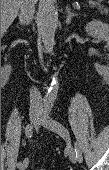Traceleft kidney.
Segmentation results:
<instances>
[{
	"mask_svg": "<svg viewBox=\"0 0 109 170\" xmlns=\"http://www.w3.org/2000/svg\"><path fill=\"white\" fill-rule=\"evenodd\" d=\"M85 31L87 32L88 35L92 37L100 38L106 42L109 41V26L106 23H103L98 20H93L86 25ZM95 68L99 74L108 75L109 72L108 66L95 64Z\"/></svg>",
	"mask_w": 109,
	"mask_h": 170,
	"instance_id": "left-kidney-1",
	"label": "left kidney"
}]
</instances>
